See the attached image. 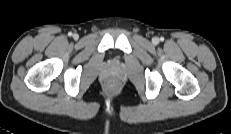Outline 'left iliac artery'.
Wrapping results in <instances>:
<instances>
[{
  "instance_id": "left-iliac-artery-1",
  "label": "left iliac artery",
  "mask_w": 231,
  "mask_h": 134,
  "mask_svg": "<svg viewBox=\"0 0 231 134\" xmlns=\"http://www.w3.org/2000/svg\"><path fill=\"white\" fill-rule=\"evenodd\" d=\"M160 40H161V41H163V40H164V38L162 37Z\"/></svg>"
}]
</instances>
